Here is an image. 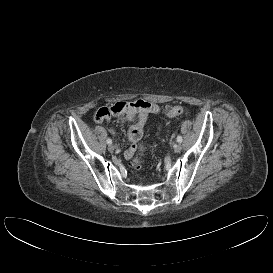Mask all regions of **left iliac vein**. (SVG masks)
Here are the masks:
<instances>
[{
  "instance_id": "obj_1",
  "label": "left iliac vein",
  "mask_w": 273,
  "mask_h": 273,
  "mask_svg": "<svg viewBox=\"0 0 273 273\" xmlns=\"http://www.w3.org/2000/svg\"><path fill=\"white\" fill-rule=\"evenodd\" d=\"M173 150L175 153H180L182 150V145L180 143L175 144Z\"/></svg>"
}]
</instances>
